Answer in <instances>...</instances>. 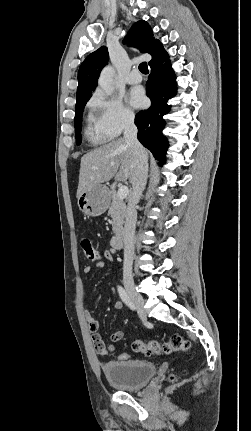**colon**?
I'll list each match as a JSON object with an SVG mask.
<instances>
[{
    "label": "colon",
    "mask_w": 251,
    "mask_h": 431,
    "mask_svg": "<svg viewBox=\"0 0 251 431\" xmlns=\"http://www.w3.org/2000/svg\"><path fill=\"white\" fill-rule=\"evenodd\" d=\"M80 246L83 251L85 258L89 261L96 262L99 260V254L94 248L92 241L83 237L80 240ZM191 348V343L183 338L182 336L175 334L170 337V339L166 342H159L156 340H150L144 342L142 340H135L132 343V349L135 352L143 353L147 356L152 355H169L173 352L182 351L189 352ZM113 360L115 362H126L128 360L127 353H115L113 355ZM176 377L174 375L170 376V380L174 381Z\"/></svg>",
    "instance_id": "1"
}]
</instances>
